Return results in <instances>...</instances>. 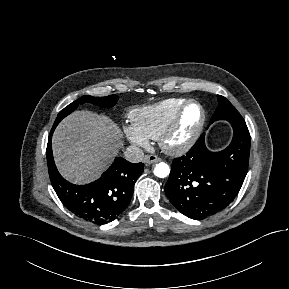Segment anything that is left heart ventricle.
I'll return each instance as SVG.
<instances>
[{
    "instance_id": "left-heart-ventricle-1",
    "label": "left heart ventricle",
    "mask_w": 289,
    "mask_h": 289,
    "mask_svg": "<svg viewBox=\"0 0 289 289\" xmlns=\"http://www.w3.org/2000/svg\"><path fill=\"white\" fill-rule=\"evenodd\" d=\"M200 119V110L196 105L187 108L181 127L175 136V140L182 141L187 138L195 129Z\"/></svg>"
}]
</instances>
